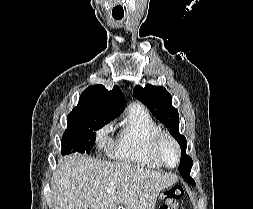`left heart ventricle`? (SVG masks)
Wrapping results in <instances>:
<instances>
[{
  "label": "left heart ventricle",
  "instance_id": "b2bd125f",
  "mask_svg": "<svg viewBox=\"0 0 253 209\" xmlns=\"http://www.w3.org/2000/svg\"><path fill=\"white\" fill-rule=\"evenodd\" d=\"M160 153L164 161L168 165H175L177 162V152L174 144L168 140L164 139L160 146Z\"/></svg>",
  "mask_w": 253,
  "mask_h": 209
}]
</instances>
